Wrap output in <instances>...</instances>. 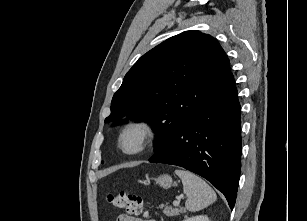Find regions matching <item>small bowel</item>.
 I'll list each match as a JSON object with an SVG mask.
<instances>
[{"instance_id": "c3829d8e", "label": "small bowel", "mask_w": 307, "mask_h": 221, "mask_svg": "<svg viewBox=\"0 0 307 221\" xmlns=\"http://www.w3.org/2000/svg\"><path fill=\"white\" fill-rule=\"evenodd\" d=\"M116 221H155V220H143L137 216H133L130 214H121L118 216Z\"/></svg>"}]
</instances>
